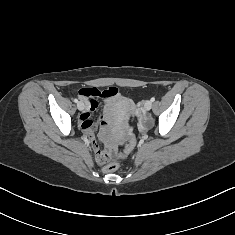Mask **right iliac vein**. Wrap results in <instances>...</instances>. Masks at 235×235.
<instances>
[{"label":"right iliac vein","mask_w":235,"mask_h":235,"mask_svg":"<svg viewBox=\"0 0 235 235\" xmlns=\"http://www.w3.org/2000/svg\"><path fill=\"white\" fill-rule=\"evenodd\" d=\"M77 108L82 111L84 109V103L83 102H78Z\"/></svg>","instance_id":"obj_1"}]
</instances>
